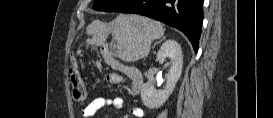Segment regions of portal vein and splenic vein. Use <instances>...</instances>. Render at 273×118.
Listing matches in <instances>:
<instances>
[{"label":"portal vein and splenic vein","instance_id":"obj_1","mask_svg":"<svg viewBox=\"0 0 273 118\" xmlns=\"http://www.w3.org/2000/svg\"><path fill=\"white\" fill-rule=\"evenodd\" d=\"M117 43V42H116ZM116 47L118 48V50L122 49V46H120L118 43L116 44Z\"/></svg>","mask_w":273,"mask_h":118}]
</instances>
